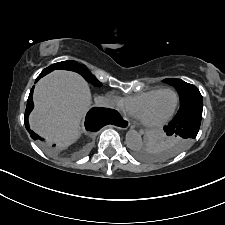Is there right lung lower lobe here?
<instances>
[{"instance_id":"obj_1","label":"right lung lower lobe","mask_w":225,"mask_h":225,"mask_svg":"<svg viewBox=\"0 0 225 225\" xmlns=\"http://www.w3.org/2000/svg\"><path fill=\"white\" fill-rule=\"evenodd\" d=\"M49 72H51V71L47 70V69H44L41 72V74L37 77L36 82L41 77L48 74ZM33 90H34V87L30 91L28 101H27V107H26V110H25V117H24L25 127L28 130V132L30 133V136L32 137V139L39 140L43 143L44 139H42L37 134H35L32 130H30L29 123H28V116H29V114L32 111L33 106H34L33 100H32ZM118 116H119L118 113L114 110H111V109L97 108V107L92 108L86 116V121H85L86 129L89 130V131H97L101 127L106 125L110 120H112L113 118H116Z\"/></svg>"}]
</instances>
